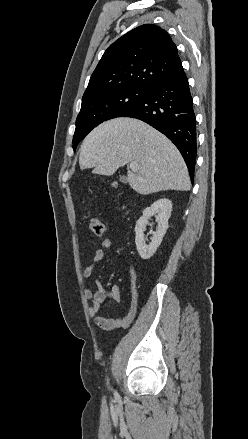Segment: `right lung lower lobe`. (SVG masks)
Here are the masks:
<instances>
[{
    "instance_id": "obj_1",
    "label": "right lung lower lobe",
    "mask_w": 248,
    "mask_h": 439,
    "mask_svg": "<svg viewBox=\"0 0 248 439\" xmlns=\"http://www.w3.org/2000/svg\"><path fill=\"white\" fill-rule=\"evenodd\" d=\"M119 117L142 120L166 135L181 152L193 183L196 163V117L184 70L153 87Z\"/></svg>"
}]
</instances>
